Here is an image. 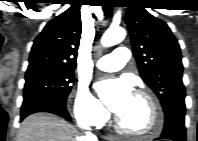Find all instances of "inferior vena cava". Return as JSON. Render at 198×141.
Segmentation results:
<instances>
[{
  "instance_id": "602c4592",
  "label": "inferior vena cava",
  "mask_w": 198,
  "mask_h": 141,
  "mask_svg": "<svg viewBox=\"0 0 198 141\" xmlns=\"http://www.w3.org/2000/svg\"><path fill=\"white\" fill-rule=\"evenodd\" d=\"M86 129H89L88 126H85ZM82 141H97V137L95 135H93L90 132L86 133V136H84L83 138H81Z\"/></svg>"
}]
</instances>
